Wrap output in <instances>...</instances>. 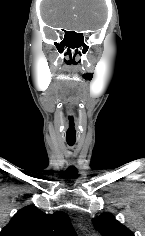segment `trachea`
Here are the masks:
<instances>
[{
  "label": "trachea",
  "instance_id": "trachea-1",
  "mask_svg": "<svg viewBox=\"0 0 145 236\" xmlns=\"http://www.w3.org/2000/svg\"><path fill=\"white\" fill-rule=\"evenodd\" d=\"M69 146H73L75 142L67 141Z\"/></svg>",
  "mask_w": 145,
  "mask_h": 236
}]
</instances>
